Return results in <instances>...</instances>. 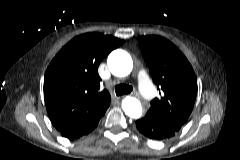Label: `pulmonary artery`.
Here are the masks:
<instances>
[{
	"label": "pulmonary artery",
	"instance_id": "e3ab8cb5",
	"mask_svg": "<svg viewBox=\"0 0 240 160\" xmlns=\"http://www.w3.org/2000/svg\"><path fill=\"white\" fill-rule=\"evenodd\" d=\"M139 89L146 99H152L155 94L154 87L145 71H140L137 75Z\"/></svg>",
	"mask_w": 240,
	"mask_h": 160
}]
</instances>
